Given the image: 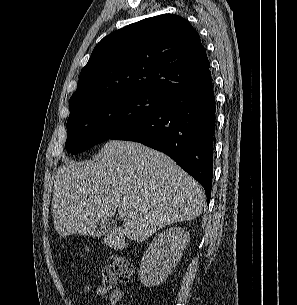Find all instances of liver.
<instances>
[{
  "mask_svg": "<svg viewBox=\"0 0 297 305\" xmlns=\"http://www.w3.org/2000/svg\"><path fill=\"white\" fill-rule=\"evenodd\" d=\"M205 194L190 175L167 155L142 144L110 140L97 162H70L54 180L52 213L64 237L89 234L125 210L123 225L106 235L113 249L137 243L171 223L191 221L202 213Z\"/></svg>",
  "mask_w": 297,
  "mask_h": 305,
  "instance_id": "obj_1",
  "label": "liver"
}]
</instances>
